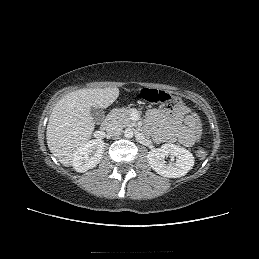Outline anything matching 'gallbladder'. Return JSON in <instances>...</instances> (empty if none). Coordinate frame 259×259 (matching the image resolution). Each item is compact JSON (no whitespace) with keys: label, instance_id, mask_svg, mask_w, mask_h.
I'll list each match as a JSON object with an SVG mask.
<instances>
[{"label":"gallbladder","instance_id":"bac80fb5","mask_svg":"<svg viewBox=\"0 0 259 259\" xmlns=\"http://www.w3.org/2000/svg\"><path fill=\"white\" fill-rule=\"evenodd\" d=\"M90 113L95 124H100L104 120L105 113L103 109L91 107Z\"/></svg>","mask_w":259,"mask_h":259}]
</instances>
